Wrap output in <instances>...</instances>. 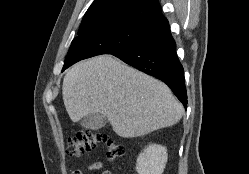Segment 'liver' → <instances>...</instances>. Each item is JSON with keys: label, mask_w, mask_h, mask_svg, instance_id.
<instances>
[{"label": "liver", "mask_w": 249, "mask_h": 174, "mask_svg": "<svg viewBox=\"0 0 249 174\" xmlns=\"http://www.w3.org/2000/svg\"><path fill=\"white\" fill-rule=\"evenodd\" d=\"M62 94L73 122L100 113L124 138L171 127L184 112L167 85L110 55L75 64L63 79Z\"/></svg>", "instance_id": "liver-1"}]
</instances>
